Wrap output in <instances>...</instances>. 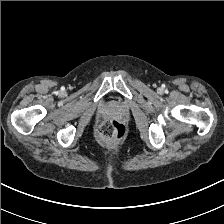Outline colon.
Returning <instances> with one entry per match:
<instances>
[{
  "label": "colon",
  "mask_w": 224,
  "mask_h": 224,
  "mask_svg": "<svg viewBox=\"0 0 224 224\" xmlns=\"http://www.w3.org/2000/svg\"><path fill=\"white\" fill-rule=\"evenodd\" d=\"M125 135V126L115 119L106 122L97 132L98 139L106 144L121 141Z\"/></svg>",
  "instance_id": "1"
}]
</instances>
